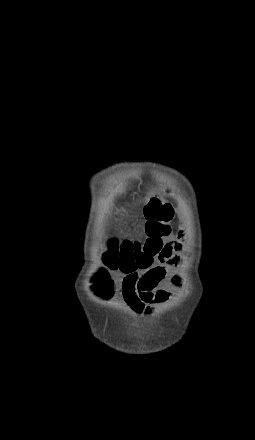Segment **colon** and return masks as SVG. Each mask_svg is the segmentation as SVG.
<instances>
[{
  "mask_svg": "<svg viewBox=\"0 0 255 440\" xmlns=\"http://www.w3.org/2000/svg\"><path fill=\"white\" fill-rule=\"evenodd\" d=\"M144 232L137 240H111L105 254L106 265L123 273L145 269L155 258H161L166 244L163 238L171 233L174 208L161 195L154 194L144 207ZM108 281L98 279L96 289L101 296L107 292Z\"/></svg>",
  "mask_w": 255,
  "mask_h": 440,
  "instance_id": "1",
  "label": "colon"
}]
</instances>
